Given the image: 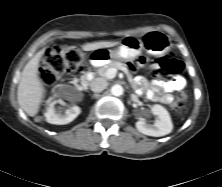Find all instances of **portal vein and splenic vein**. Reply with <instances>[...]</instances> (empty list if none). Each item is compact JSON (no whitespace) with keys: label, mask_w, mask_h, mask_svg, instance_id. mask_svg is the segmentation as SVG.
Here are the masks:
<instances>
[{"label":"portal vein and splenic vein","mask_w":222,"mask_h":187,"mask_svg":"<svg viewBox=\"0 0 222 187\" xmlns=\"http://www.w3.org/2000/svg\"><path fill=\"white\" fill-rule=\"evenodd\" d=\"M116 74H117V69H115V68H110V69L107 71L106 76H107L108 79H112V78H114V77L116 76Z\"/></svg>","instance_id":"portal-vein-and-splenic-vein-1"}]
</instances>
